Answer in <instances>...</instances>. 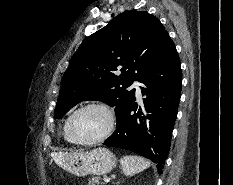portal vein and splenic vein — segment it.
I'll return each mask as SVG.
<instances>
[{
    "mask_svg": "<svg viewBox=\"0 0 233 185\" xmlns=\"http://www.w3.org/2000/svg\"><path fill=\"white\" fill-rule=\"evenodd\" d=\"M104 182H105V183L110 182V178H104Z\"/></svg>",
    "mask_w": 233,
    "mask_h": 185,
    "instance_id": "obj_1",
    "label": "portal vein and splenic vein"
}]
</instances>
